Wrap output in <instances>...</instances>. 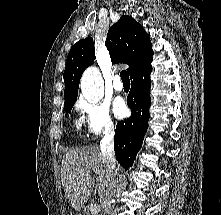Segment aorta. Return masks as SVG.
<instances>
[{"label": "aorta", "instance_id": "762f6f07", "mask_svg": "<svg viewBox=\"0 0 221 215\" xmlns=\"http://www.w3.org/2000/svg\"><path fill=\"white\" fill-rule=\"evenodd\" d=\"M82 95L89 102L97 103L103 98L104 84L102 76L96 67H89L81 78Z\"/></svg>", "mask_w": 221, "mask_h": 215}]
</instances>
